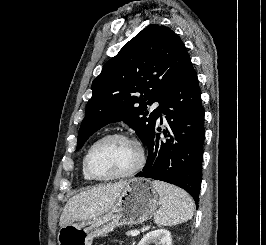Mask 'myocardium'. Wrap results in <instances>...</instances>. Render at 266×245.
Segmentation results:
<instances>
[{
    "label": "myocardium",
    "mask_w": 266,
    "mask_h": 245,
    "mask_svg": "<svg viewBox=\"0 0 266 245\" xmlns=\"http://www.w3.org/2000/svg\"><path fill=\"white\" fill-rule=\"evenodd\" d=\"M113 138H118V139H122V140L129 141V142L133 143L138 149V158H137V161H136L135 165L133 166V168L131 170H129L128 172L121 174V175H118V176L101 177L93 171V169L91 167V157H92V154L95 151V149L101 143H103L109 139H113ZM144 162H145V149L142 146V144L140 143V141L138 139L132 137V136L125 134V133H118V132L105 134L102 137L98 138L96 141H94L91 144V146L88 148L87 153H86V157H85V167H86L87 173L89 174V176L93 180L101 181V182H109V181H116V180L129 178V177H131V176H133L139 172V170L144 165Z\"/></svg>",
    "instance_id": "1"
}]
</instances>
